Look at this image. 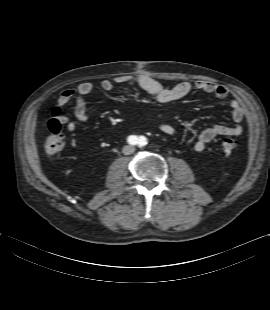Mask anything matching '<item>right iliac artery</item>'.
I'll return each mask as SVG.
<instances>
[{"label": "right iliac artery", "mask_w": 270, "mask_h": 310, "mask_svg": "<svg viewBox=\"0 0 270 310\" xmlns=\"http://www.w3.org/2000/svg\"><path fill=\"white\" fill-rule=\"evenodd\" d=\"M128 142H129L131 145H135V144H137V142H138V138H137L136 136L132 135V136H130V137L128 138Z\"/></svg>", "instance_id": "82829eb1"}]
</instances>
